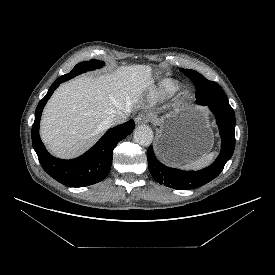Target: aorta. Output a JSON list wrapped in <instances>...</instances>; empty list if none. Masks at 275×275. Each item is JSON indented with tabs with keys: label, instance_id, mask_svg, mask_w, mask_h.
I'll return each instance as SVG.
<instances>
[{
	"label": "aorta",
	"instance_id": "obj_1",
	"mask_svg": "<svg viewBox=\"0 0 275 275\" xmlns=\"http://www.w3.org/2000/svg\"><path fill=\"white\" fill-rule=\"evenodd\" d=\"M134 140L141 146H149L153 140V131L148 125H140L134 130Z\"/></svg>",
	"mask_w": 275,
	"mask_h": 275
}]
</instances>
